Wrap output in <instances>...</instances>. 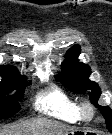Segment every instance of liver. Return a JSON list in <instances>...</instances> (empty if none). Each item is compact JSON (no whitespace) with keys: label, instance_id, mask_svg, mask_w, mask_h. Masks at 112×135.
Listing matches in <instances>:
<instances>
[{"label":"liver","instance_id":"6515ba94","mask_svg":"<svg viewBox=\"0 0 112 135\" xmlns=\"http://www.w3.org/2000/svg\"><path fill=\"white\" fill-rule=\"evenodd\" d=\"M72 131L49 120H28L19 124L9 135H67Z\"/></svg>","mask_w":112,"mask_h":135}]
</instances>
